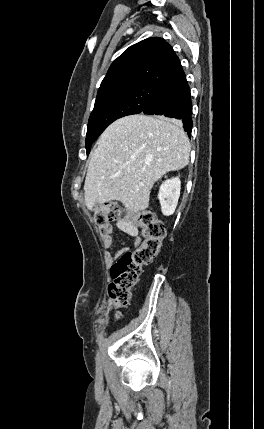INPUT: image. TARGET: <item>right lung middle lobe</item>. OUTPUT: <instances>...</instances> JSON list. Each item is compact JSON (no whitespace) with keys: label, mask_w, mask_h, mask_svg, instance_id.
Returning a JSON list of instances; mask_svg holds the SVG:
<instances>
[{"label":"right lung middle lobe","mask_w":264,"mask_h":429,"mask_svg":"<svg viewBox=\"0 0 264 429\" xmlns=\"http://www.w3.org/2000/svg\"><path fill=\"white\" fill-rule=\"evenodd\" d=\"M158 87L139 84L97 97L88 122L85 145L87 154L92 143L112 122L127 115L141 113Z\"/></svg>","instance_id":"right-lung-middle-lobe-1"}]
</instances>
